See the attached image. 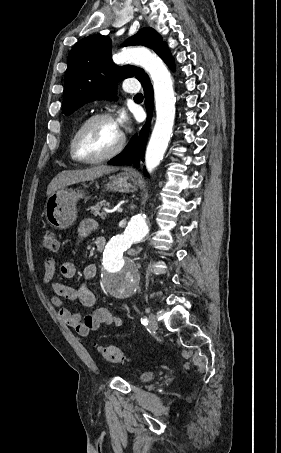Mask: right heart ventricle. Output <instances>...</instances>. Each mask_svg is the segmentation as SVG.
Instances as JSON below:
<instances>
[{
  "instance_id": "e07e8e85",
  "label": "right heart ventricle",
  "mask_w": 281,
  "mask_h": 453,
  "mask_svg": "<svg viewBox=\"0 0 281 453\" xmlns=\"http://www.w3.org/2000/svg\"><path fill=\"white\" fill-rule=\"evenodd\" d=\"M75 132L71 135V138H70V151H71L72 155H73V146H74V135H75Z\"/></svg>"
}]
</instances>
